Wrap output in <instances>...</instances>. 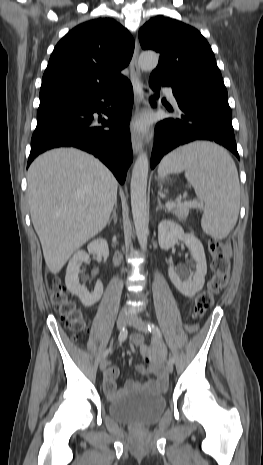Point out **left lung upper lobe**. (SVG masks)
<instances>
[{"label": "left lung upper lobe", "instance_id": "left-lung-upper-lobe-1", "mask_svg": "<svg viewBox=\"0 0 263 465\" xmlns=\"http://www.w3.org/2000/svg\"><path fill=\"white\" fill-rule=\"evenodd\" d=\"M143 49L160 53L151 76L171 84H188L203 96L228 98L213 51L201 33L178 20L157 16L140 30Z\"/></svg>", "mask_w": 263, "mask_h": 465}]
</instances>
